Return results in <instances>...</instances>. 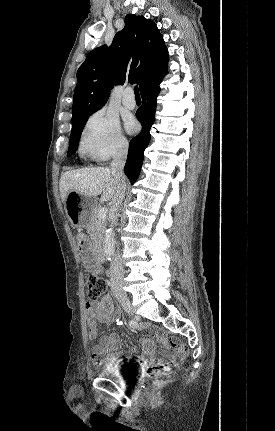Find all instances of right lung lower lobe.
Listing matches in <instances>:
<instances>
[{
    "label": "right lung lower lobe",
    "mask_w": 275,
    "mask_h": 431,
    "mask_svg": "<svg viewBox=\"0 0 275 431\" xmlns=\"http://www.w3.org/2000/svg\"><path fill=\"white\" fill-rule=\"evenodd\" d=\"M162 78L141 93L143 106L138 109L136 116L141 122L142 131L134 137L129 145L124 172L133 184L139 176L144 158V150L150 142V128L155 121L156 98L160 92L159 84Z\"/></svg>",
    "instance_id": "1"
}]
</instances>
